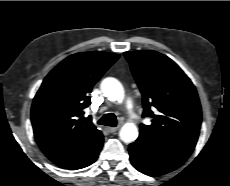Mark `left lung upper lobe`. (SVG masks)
I'll use <instances>...</instances> for the list:
<instances>
[{
  "mask_svg": "<svg viewBox=\"0 0 230 186\" xmlns=\"http://www.w3.org/2000/svg\"><path fill=\"white\" fill-rule=\"evenodd\" d=\"M124 55L143 95V116L153 118L151 125H140V136L194 149L202 114L191 80L174 61L156 51H133ZM152 107L156 109L154 112Z\"/></svg>",
  "mask_w": 230,
  "mask_h": 186,
  "instance_id": "1",
  "label": "left lung upper lobe"
}]
</instances>
